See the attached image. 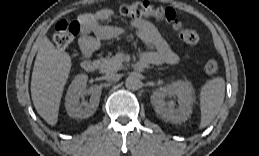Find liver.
I'll return each mask as SVG.
<instances>
[{"mask_svg": "<svg viewBox=\"0 0 259 156\" xmlns=\"http://www.w3.org/2000/svg\"><path fill=\"white\" fill-rule=\"evenodd\" d=\"M72 61L44 36L39 42L32 79L31 97L38 114L50 125L58 121L59 106Z\"/></svg>", "mask_w": 259, "mask_h": 156, "instance_id": "1", "label": "liver"}]
</instances>
